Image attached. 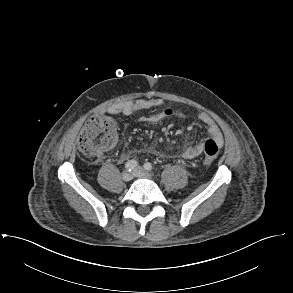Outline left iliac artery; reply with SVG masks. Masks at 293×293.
Segmentation results:
<instances>
[{
  "label": "left iliac artery",
  "instance_id": "44dca946",
  "mask_svg": "<svg viewBox=\"0 0 293 293\" xmlns=\"http://www.w3.org/2000/svg\"><path fill=\"white\" fill-rule=\"evenodd\" d=\"M144 168L148 171H151L153 169V166L151 163L147 162L144 164Z\"/></svg>",
  "mask_w": 293,
  "mask_h": 293
}]
</instances>
